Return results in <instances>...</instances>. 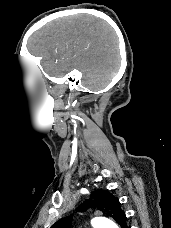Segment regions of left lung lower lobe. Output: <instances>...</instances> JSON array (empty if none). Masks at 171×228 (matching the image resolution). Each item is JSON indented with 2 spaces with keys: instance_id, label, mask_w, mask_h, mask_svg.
I'll list each match as a JSON object with an SVG mask.
<instances>
[{
  "instance_id": "left-lung-lower-lobe-1",
  "label": "left lung lower lobe",
  "mask_w": 171,
  "mask_h": 228,
  "mask_svg": "<svg viewBox=\"0 0 171 228\" xmlns=\"http://www.w3.org/2000/svg\"><path fill=\"white\" fill-rule=\"evenodd\" d=\"M121 228H128L127 224L120 226Z\"/></svg>"
}]
</instances>
